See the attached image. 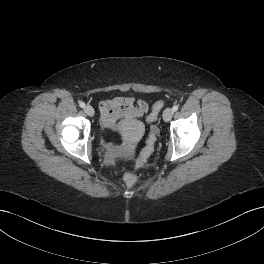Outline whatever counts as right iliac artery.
Listing matches in <instances>:
<instances>
[{"label":"right iliac artery","mask_w":264,"mask_h":264,"mask_svg":"<svg viewBox=\"0 0 264 264\" xmlns=\"http://www.w3.org/2000/svg\"><path fill=\"white\" fill-rule=\"evenodd\" d=\"M79 106H80L81 108H84V107H85V103H84V102H80V103H79Z\"/></svg>","instance_id":"obj_1"}]
</instances>
